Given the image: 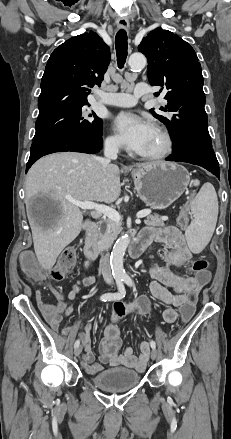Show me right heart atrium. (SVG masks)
I'll list each match as a JSON object with an SVG mask.
<instances>
[{
  "instance_id": "right-heart-atrium-1",
  "label": "right heart atrium",
  "mask_w": 231,
  "mask_h": 439,
  "mask_svg": "<svg viewBox=\"0 0 231 439\" xmlns=\"http://www.w3.org/2000/svg\"><path fill=\"white\" fill-rule=\"evenodd\" d=\"M105 145L111 150H118L121 147L120 141L113 135H110L105 139Z\"/></svg>"
}]
</instances>
